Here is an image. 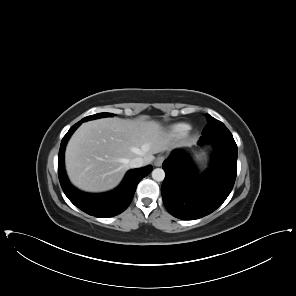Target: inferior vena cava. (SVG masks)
Listing matches in <instances>:
<instances>
[{
    "label": "inferior vena cava",
    "instance_id": "inferior-vena-cava-1",
    "mask_svg": "<svg viewBox=\"0 0 296 296\" xmlns=\"http://www.w3.org/2000/svg\"><path fill=\"white\" fill-rule=\"evenodd\" d=\"M129 165H130V168H139L144 165V160L141 157H136L130 161Z\"/></svg>",
    "mask_w": 296,
    "mask_h": 296
}]
</instances>
